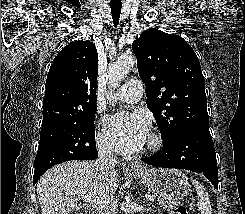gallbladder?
Listing matches in <instances>:
<instances>
[{
  "label": "gallbladder",
  "instance_id": "bac80fb5",
  "mask_svg": "<svg viewBox=\"0 0 245 214\" xmlns=\"http://www.w3.org/2000/svg\"><path fill=\"white\" fill-rule=\"evenodd\" d=\"M80 208L77 206L76 208H75V210H79Z\"/></svg>",
  "mask_w": 245,
  "mask_h": 214
}]
</instances>
